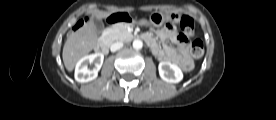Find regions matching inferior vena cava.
Segmentation results:
<instances>
[{
	"mask_svg": "<svg viewBox=\"0 0 276 120\" xmlns=\"http://www.w3.org/2000/svg\"><path fill=\"white\" fill-rule=\"evenodd\" d=\"M123 47V43L122 42H116L113 43L110 47L111 52H116L117 50H119L120 48Z\"/></svg>",
	"mask_w": 276,
	"mask_h": 120,
	"instance_id": "inferior-vena-cava-1",
	"label": "inferior vena cava"
}]
</instances>
